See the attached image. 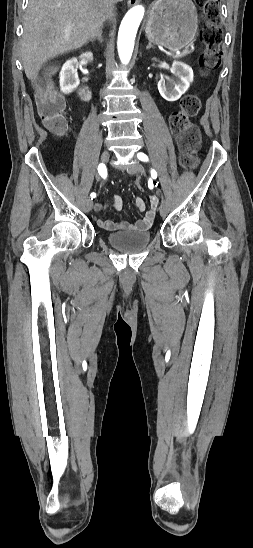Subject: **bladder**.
<instances>
[{"instance_id":"obj_1","label":"bladder","mask_w":253,"mask_h":548,"mask_svg":"<svg viewBox=\"0 0 253 548\" xmlns=\"http://www.w3.org/2000/svg\"><path fill=\"white\" fill-rule=\"evenodd\" d=\"M108 243L123 253H136L145 249L151 241L149 231H116L107 235Z\"/></svg>"}]
</instances>
